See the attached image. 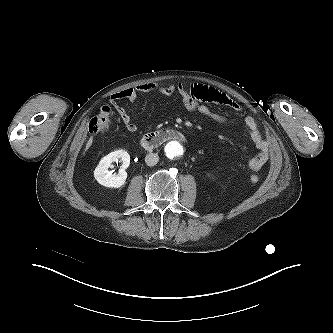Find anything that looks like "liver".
<instances>
[{
    "label": "liver",
    "instance_id": "liver-1",
    "mask_svg": "<svg viewBox=\"0 0 333 333\" xmlns=\"http://www.w3.org/2000/svg\"><path fill=\"white\" fill-rule=\"evenodd\" d=\"M93 143V137L91 136L86 144L85 151H87Z\"/></svg>",
    "mask_w": 333,
    "mask_h": 333
}]
</instances>
